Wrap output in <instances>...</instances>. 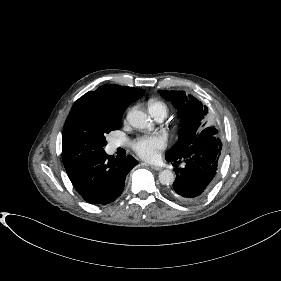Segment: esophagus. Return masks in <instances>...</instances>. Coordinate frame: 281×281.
<instances>
[{
	"instance_id": "34e87169",
	"label": "esophagus",
	"mask_w": 281,
	"mask_h": 281,
	"mask_svg": "<svg viewBox=\"0 0 281 281\" xmlns=\"http://www.w3.org/2000/svg\"><path fill=\"white\" fill-rule=\"evenodd\" d=\"M152 169L156 170V171H161L162 167L160 166H155V165H149Z\"/></svg>"
}]
</instances>
